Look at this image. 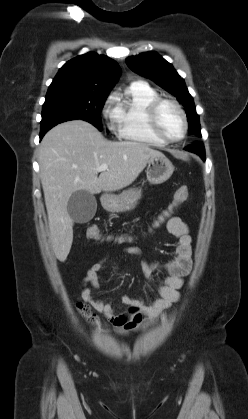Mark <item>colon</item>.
<instances>
[{"label": "colon", "mask_w": 248, "mask_h": 419, "mask_svg": "<svg viewBox=\"0 0 248 419\" xmlns=\"http://www.w3.org/2000/svg\"><path fill=\"white\" fill-rule=\"evenodd\" d=\"M189 199V190L187 187L182 186L177 189L174 195V199L168 210H166L162 215H160L156 221V224L161 223L167 216H170L174 210H176L181 204L187 202ZM88 234L94 240H101L102 235L98 227H91L88 229ZM78 310L80 314L85 317L90 323H97V318L92 313L90 306L85 302L78 303Z\"/></svg>", "instance_id": "colon-1"}]
</instances>
